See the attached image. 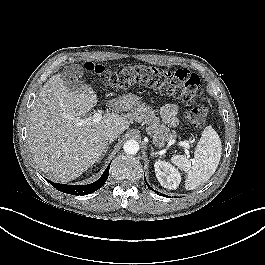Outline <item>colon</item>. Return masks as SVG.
<instances>
[{
  "label": "colon",
  "instance_id": "5ec220e1",
  "mask_svg": "<svg viewBox=\"0 0 265 265\" xmlns=\"http://www.w3.org/2000/svg\"><path fill=\"white\" fill-rule=\"evenodd\" d=\"M85 69L103 77L106 83L116 90H123L135 84L157 88L191 106L185 114L191 125H205L208 107L198 102L201 93L199 77L186 69L166 70L152 65L134 64L109 71L104 66L93 63L85 64Z\"/></svg>",
  "mask_w": 265,
  "mask_h": 265
}]
</instances>
